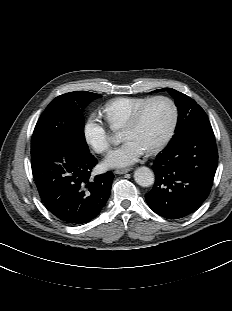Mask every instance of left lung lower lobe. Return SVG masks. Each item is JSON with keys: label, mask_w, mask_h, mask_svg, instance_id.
<instances>
[{"label": "left lung lower lobe", "mask_w": 232, "mask_h": 311, "mask_svg": "<svg viewBox=\"0 0 232 311\" xmlns=\"http://www.w3.org/2000/svg\"><path fill=\"white\" fill-rule=\"evenodd\" d=\"M217 164L209 121L181 133L154 161L155 184L145 195L148 206L167 219L189 215L208 197Z\"/></svg>", "instance_id": "left-lung-lower-lobe-1"}]
</instances>
